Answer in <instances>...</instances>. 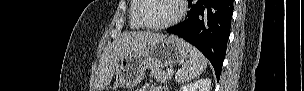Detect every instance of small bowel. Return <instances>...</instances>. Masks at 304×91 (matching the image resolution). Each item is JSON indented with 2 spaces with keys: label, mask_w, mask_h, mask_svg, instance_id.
<instances>
[{
  "label": "small bowel",
  "mask_w": 304,
  "mask_h": 91,
  "mask_svg": "<svg viewBox=\"0 0 304 91\" xmlns=\"http://www.w3.org/2000/svg\"><path fill=\"white\" fill-rule=\"evenodd\" d=\"M167 89L162 86H154L150 84L144 85L140 91H166Z\"/></svg>",
  "instance_id": "small-bowel-1"
}]
</instances>
